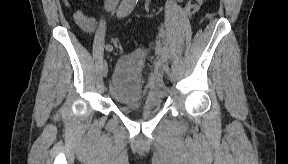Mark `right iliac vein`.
I'll return each mask as SVG.
<instances>
[{"instance_id":"1","label":"right iliac vein","mask_w":288,"mask_h":164,"mask_svg":"<svg viewBox=\"0 0 288 164\" xmlns=\"http://www.w3.org/2000/svg\"><path fill=\"white\" fill-rule=\"evenodd\" d=\"M107 73H108V64L106 61H104L103 65H102V74L104 77H106Z\"/></svg>"}]
</instances>
